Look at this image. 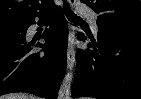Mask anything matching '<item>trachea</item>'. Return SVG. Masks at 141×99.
I'll list each match as a JSON object with an SVG mask.
<instances>
[{
  "mask_svg": "<svg viewBox=\"0 0 141 99\" xmlns=\"http://www.w3.org/2000/svg\"><path fill=\"white\" fill-rule=\"evenodd\" d=\"M63 3H64V4H63L64 13H65L66 17H67L71 22H74V23H76V22H78V23H83V22H84L80 17H78V16L71 10V8H70V6H69V3H68L66 0H64Z\"/></svg>",
  "mask_w": 141,
  "mask_h": 99,
  "instance_id": "3493384b",
  "label": "trachea"
}]
</instances>
